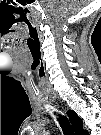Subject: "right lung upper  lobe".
I'll return each instance as SVG.
<instances>
[{
	"mask_svg": "<svg viewBox=\"0 0 101 135\" xmlns=\"http://www.w3.org/2000/svg\"><path fill=\"white\" fill-rule=\"evenodd\" d=\"M69 119L72 123V127L78 135H86V130H83V121L74 111L68 112Z\"/></svg>",
	"mask_w": 101,
	"mask_h": 135,
	"instance_id": "cb5924a9",
	"label": "right lung upper lobe"
}]
</instances>
